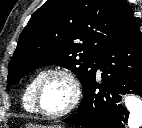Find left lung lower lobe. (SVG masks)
<instances>
[{
    "instance_id": "0a47b994",
    "label": "left lung lower lobe",
    "mask_w": 142,
    "mask_h": 128,
    "mask_svg": "<svg viewBox=\"0 0 142 128\" xmlns=\"http://www.w3.org/2000/svg\"><path fill=\"white\" fill-rule=\"evenodd\" d=\"M97 68L103 71L102 83L95 82L94 74L83 91L77 113L63 122L85 128H124L128 112L120 104L119 94L133 93L142 97V34L139 28L105 50Z\"/></svg>"
}]
</instances>
